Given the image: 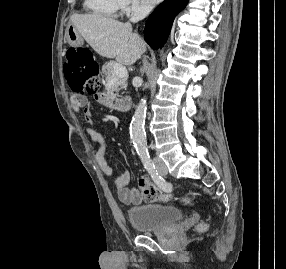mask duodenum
Here are the masks:
<instances>
[{
    "label": "duodenum",
    "instance_id": "410a0bca",
    "mask_svg": "<svg viewBox=\"0 0 286 269\" xmlns=\"http://www.w3.org/2000/svg\"><path fill=\"white\" fill-rule=\"evenodd\" d=\"M117 106H118V108H119L121 111L125 112V111H128V110L131 109L132 104H131L130 101L121 100V101H118V102H117Z\"/></svg>",
    "mask_w": 286,
    "mask_h": 269
}]
</instances>
